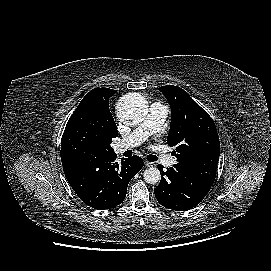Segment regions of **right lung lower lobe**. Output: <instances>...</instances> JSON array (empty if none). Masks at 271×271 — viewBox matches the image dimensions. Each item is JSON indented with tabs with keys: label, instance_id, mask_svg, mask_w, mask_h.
Wrapping results in <instances>:
<instances>
[{
	"label": "right lung lower lobe",
	"instance_id": "98d812e1",
	"mask_svg": "<svg viewBox=\"0 0 271 271\" xmlns=\"http://www.w3.org/2000/svg\"><path fill=\"white\" fill-rule=\"evenodd\" d=\"M117 155L61 152L66 179L78 197L88 206L103 210L121 204L130 180L143 167V160L133 156L115 162Z\"/></svg>",
	"mask_w": 271,
	"mask_h": 271
}]
</instances>
